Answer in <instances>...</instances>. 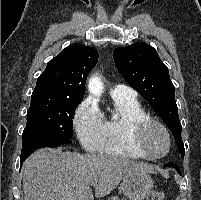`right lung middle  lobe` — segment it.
I'll return each mask as SVG.
<instances>
[{
	"instance_id": "1",
	"label": "right lung middle lobe",
	"mask_w": 201,
	"mask_h": 200,
	"mask_svg": "<svg viewBox=\"0 0 201 200\" xmlns=\"http://www.w3.org/2000/svg\"><path fill=\"white\" fill-rule=\"evenodd\" d=\"M80 99L55 97L46 94H32L27 112V124L22 137L46 135L71 139L74 113Z\"/></svg>"
}]
</instances>
